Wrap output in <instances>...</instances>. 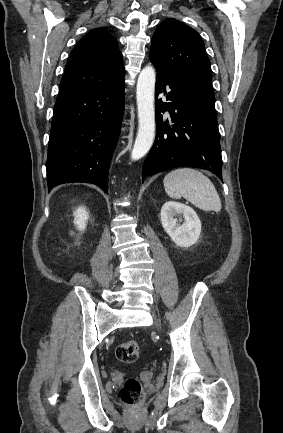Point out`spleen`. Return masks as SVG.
<instances>
[{"label":"spleen","instance_id":"3e777b00","mask_svg":"<svg viewBox=\"0 0 283 433\" xmlns=\"http://www.w3.org/2000/svg\"><path fill=\"white\" fill-rule=\"evenodd\" d=\"M165 192L171 198H181L202 208V210H221L220 196L211 180L195 168H176L166 174Z\"/></svg>","mask_w":283,"mask_h":433}]
</instances>
